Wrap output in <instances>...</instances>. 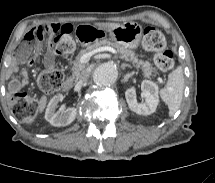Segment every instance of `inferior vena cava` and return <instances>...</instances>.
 Masks as SVG:
<instances>
[{
    "mask_svg": "<svg viewBox=\"0 0 215 183\" xmlns=\"http://www.w3.org/2000/svg\"><path fill=\"white\" fill-rule=\"evenodd\" d=\"M90 73L87 70L82 71V73L80 74V81H86L89 77Z\"/></svg>",
    "mask_w": 215,
    "mask_h": 183,
    "instance_id": "602c4592",
    "label": "inferior vena cava"
}]
</instances>
